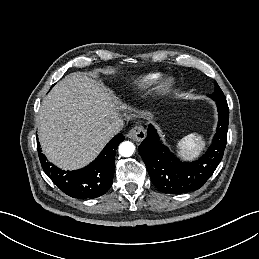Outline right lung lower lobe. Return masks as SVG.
Returning <instances> with one entry per match:
<instances>
[{
  "instance_id": "1",
  "label": "right lung lower lobe",
  "mask_w": 259,
  "mask_h": 259,
  "mask_svg": "<svg viewBox=\"0 0 259 259\" xmlns=\"http://www.w3.org/2000/svg\"><path fill=\"white\" fill-rule=\"evenodd\" d=\"M123 140L122 134L115 136L92 163L77 171L57 168L47 161L39 143L37 149L44 172L60 190L73 198L93 199L110 189L115 169V150Z\"/></svg>"
}]
</instances>
